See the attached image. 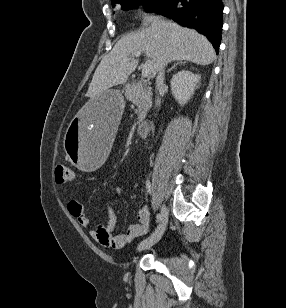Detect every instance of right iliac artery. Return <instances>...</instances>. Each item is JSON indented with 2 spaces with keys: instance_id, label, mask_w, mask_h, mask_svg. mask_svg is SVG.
I'll return each instance as SVG.
<instances>
[{
  "instance_id": "right-iliac-artery-1",
  "label": "right iliac artery",
  "mask_w": 286,
  "mask_h": 308,
  "mask_svg": "<svg viewBox=\"0 0 286 308\" xmlns=\"http://www.w3.org/2000/svg\"><path fill=\"white\" fill-rule=\"evenodd\" d=\"M146 189L147 191L150 193L151 192V184H150V181L149 180H146ZM161 221V214H157L156 216V222L157 223H160Z\"/></svg>"
}]
</instances>
